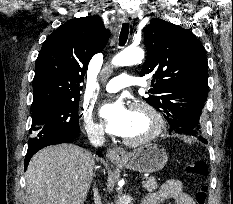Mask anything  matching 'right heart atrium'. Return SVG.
Here are the masks:
<instances>
[{
	"label": "right heart atrium",
	"mask_w": 233,
	"mask_h": 204,
	"mask_svg": "<svg viewBox=\"0 0 233 204\" xmlns=\"http://www.w3.org/2000/svg\"><path fill=\"white\" fill-rule=\"evenodd\" d=\"M81 124L84 134L91 142H99L104 138L101 128L94 123L90 115L83 112L81 115Z\"/></svg>",
	"instance_id": "obj_1"
}]
</instances>
